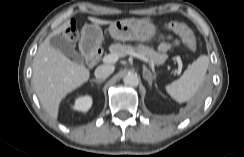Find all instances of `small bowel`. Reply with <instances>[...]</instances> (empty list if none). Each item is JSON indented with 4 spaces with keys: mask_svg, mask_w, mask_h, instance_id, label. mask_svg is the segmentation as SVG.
<instances>
[{
    "mask_svg": "<svg viewBox=\"0 0 244 157\" xmlns=\"http://www.w3.org/2000/svg\"><path fill=\"white\" fill-rule=\"evenodd\" d=\"M178 42L177 41H174L173 42V45H176ZM171 43L170 42H168V41H163V42H161L160 43V45H159V50L161 51V52H165V51H167L170 47H171Z\"/></svg>",
    "mask_w": 244,
    "mask_h": 157,
    "instance_id": "obj_1",
    "label": "small bowel"
}]
</instances>
